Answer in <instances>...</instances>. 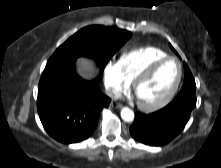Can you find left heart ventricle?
<instances>
[{
	"label": "left heart ventricle",
	"instance_id": "1",
	"mask_svg": "<svg viewBox=\"0 0 221 168\" xmlns=\"http://www.w3.org/2000/svg\"><path fill=\"white\" fill-rule=\"evenodd\" d=\"M178 77V65L168 61L159 66L136 92V98L142 103H154L162 99L173 87Z\"/></svg>",
	"mask_w": 221,
	"mask_h": 168
}]
</instances>
